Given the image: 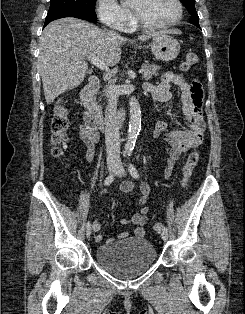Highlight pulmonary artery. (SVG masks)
I'll use <instances>...</instances> for the list:
<instances>
[{"label": "pulmonary artery", "instance_id": "obj_1", "mask_svg": "<svg viewBox=\"0 0 245 314\" xmlns=\"http://www.w3.org/2000/svg\"><path fill=\"white\" fill-rule=\"evenodd\" d=\"M121 31H125V32H127V31H129V29H124V30H121Z\"/></svg>", "mask_w": 245, "mask_h": 314}]
</instances>
